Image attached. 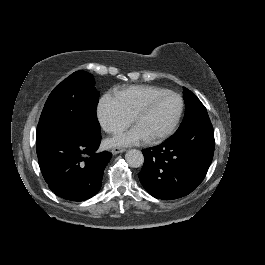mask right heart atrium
<instances>
[{
  "label": "right heart atrium",
  "instance_id": "obj_1",
  "mask_svg": "<svg viewBox=\"0 0 265 265\" xmlns=\"http://www.w3.org/2000/svg\"><path fill=\"white\" fill-rule=\"evenodd\" d=\"M97 118L100 126L108 133H117L133 121V117L124 111L113 95H106L100 100Z\"/></svg>",
  "mask_w": 265,
  "mask_h": 265
}]
</instances>
